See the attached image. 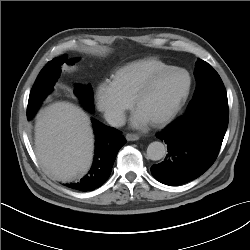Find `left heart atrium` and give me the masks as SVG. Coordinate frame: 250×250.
Instances as JSON below:
<instances>
[{
    "instance_id": "39dd6f15",
    "label": "left heart atrium",
    "mask_w": 250,
    "mask_h": 250,
    "mask_svg": "<svg viewBox=\"0 0 250 250\" xmlns=\"http://www.w3.org/2000/svg\"><path fill=\"white\" fill-rule=\"evenodd\" d=\"M131 124L134 127L142 128L149 124V120L141 112L136 110L131 118Z\"/></svg>"
}]
</instances>
